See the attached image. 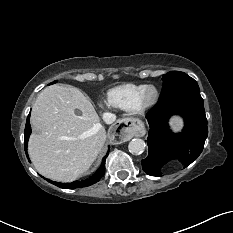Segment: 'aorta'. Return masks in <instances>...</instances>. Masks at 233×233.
I'll use <instances>...</instances> for the list:
<instances>
[{
  "instance_id": "762f6f07",
  "label": "aorta",
  "mask_w": 233,
  "mask_h": 233,
  "mask_svg": "<svg viewBox=\"0 0 233 233\" xmlns=\"http://www.w3.org/2000/svg\"><path fill=\"white\" fill-rule=\"evenodd\" d=\"M146 144L144 140L135 138L132 139L128 145V150L130 153L138 155L144 152Z\"/></svg>"
}]
</instances>
